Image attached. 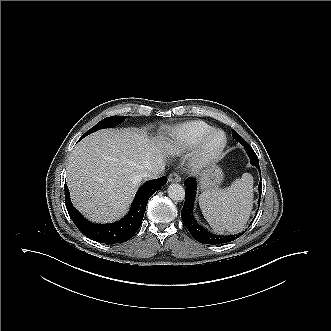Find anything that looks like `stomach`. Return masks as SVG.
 <instances>
[{"label":"stomach","mask_w":331,"mask_h":331,"mask_svg":"<svg viewBox=\"0 0 331 331\" xmlns=\"http://www.w3.org/2000/svg\"><path fill=\"white\" fill-rule=\"evenodd\" d=\"M223 178V172L218 166H208L198 175L199 188L201 191L218 188L222 183Z\"/></svg>","instance_id":"1"}]
</instances>
